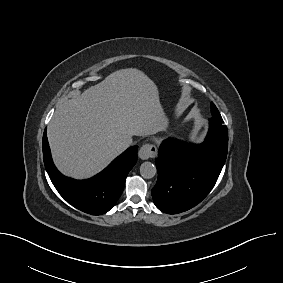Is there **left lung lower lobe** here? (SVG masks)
<instances>
[{"label": "left lung lower lobe", "mask_w": 283, "mask_h": 283, "mask_svg": "<svg viewBox=\"0 0 283 283\" xmlns=\"http://www.w3.org/2000/svg\"><path fill=\"white\" fill-rule=\"evenodd\" d=\"M227 150V127L212 118L202 144L188 146L179 140L163 141L155 159L158 179L152 197L156 207L177 214L199 204L214 187Z\"/></svg>", "instance_id": "obj_1"}]
</instances>
